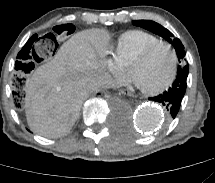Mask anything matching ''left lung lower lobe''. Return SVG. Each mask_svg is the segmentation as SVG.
Returning a JSON list of instances; mask_svg holds the SVG:
<instances>
[{
    "label": "left lung lower lobe",
    "instance_id": "0a47b994",
    "mask_svg": "<svg viewBox=\"0 0 215 183\" xmlns=\"http://www.w3.org/2000/svg\"><path fill=\"white\" fill-rule=\"evenodd\" d=\"M187 76L188 72L178 73L176 80L168 90L158 96L150 98V100L162 104L167 109L168 120L175 118L179 112L187 87Z\"/></svg>",
    "mask_w": 215,
    "mask_h": 183
}]
</instances>
